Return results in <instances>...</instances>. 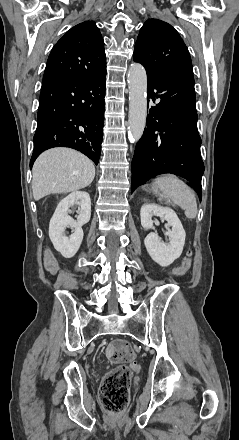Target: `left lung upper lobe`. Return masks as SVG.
<instances>
[{
	"mask_svg": "<svg viewBox=\"0 0 239 440\" xmlns=\"http://www.w3.org/2000/svg\"><path fill=\"white\" fill-rule=\"evenodd\" d=\"M133 59L147 72H180L193 75L189 51L178 32L159 19L147 20L135 43Z\"/></svg>",
	"mask_w": 239,
	"mask_h": 440,
	"instance_id": "1",
	"label": "left lung upper lobe"
}]
</instances>
